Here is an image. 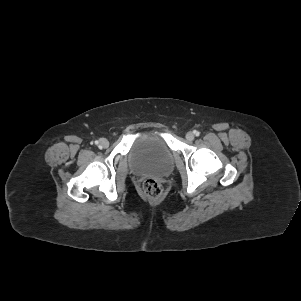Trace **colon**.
I'll list each match as a JSON object with an SVG mask.
<instances>
[{
    "mask_svg": "<svg viewBox=\"0 0 301 301\" xmlns=\"http://www.w3.org/2000/svg\"><path fill=\"white\" fill-rule=\"evenodd\" d=\"M142 189L146 197L152 200L161 198L164 192L162 184L153 178H149L143 182Z\"/></svg>",
    "mask_w": 301,
    "mask_h": 301,
    "instance_id": "colon-1",
    "label": "colon"
}]
</instances>
